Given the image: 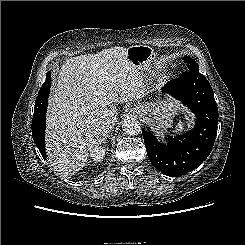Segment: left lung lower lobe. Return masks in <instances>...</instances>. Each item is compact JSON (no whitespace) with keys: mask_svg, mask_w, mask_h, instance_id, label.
Wrapping results in <instances>:
<instances>
[{"mask_svg":"<svg viewBox=\"0 0 245 245\" xmlns=\"http://www.w3.org/2000/svg\"><path fill=\"white\" fill-rule=\"evenodd\" d=\"M184 103L196 117L194 129L184 136L168 137L161 144L142 130L153 166L168 176H182L194 170L210 154L217 135L218 109L208 80L199 71L184 72L162 89Z\"/></svg>","mask_w":245,"mask_h":245,"instance_id":"0a47b994","label":"left lung lower lobe"}]
</instances>
